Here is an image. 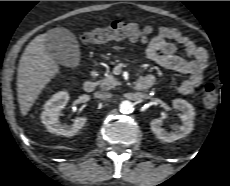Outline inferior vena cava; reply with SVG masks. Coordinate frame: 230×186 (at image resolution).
I'll use <instances>...</instances> for the list:
<instances>
[{"label": "inferior vena cava", "instance_id": "602c4592", "mask_svg": "<svg viewBox=\"0 0 230 186\" xmlns=\"http://www.w3.org/2000/svg\"><path fill=\"white\" fill-rule=\"evenodd\" d=\"M94 96L99 99H107L110 98L112 95L111 93L107 92H96Z\"/></svg>", "mask_w": 230, "mask_h": 186}]
</instances>
